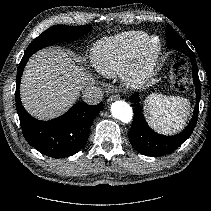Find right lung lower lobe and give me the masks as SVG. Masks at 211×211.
Wrapping results in <instances>:
<instances>
[{
  "label": "right lung lower lobe",
  "mask_w": 211,
  "mask_h": 211,
  "mask_svg": "<svg viewBox=\"0 0 211 211\" xmlns=\"http://www.w3.org/2000/svg\"><path fill=\"white\" fill-rule=\"evenodd\" d=\"M29 57L23 56L16 78L15 101L23 135L42 154L53 158L71 156L85 146L92 122L103 110V103L94 106L76 103L64 115L50 121L33 118L23 108L19 94L22 72Z\"/></svg>",
  "instance_id": "right-lung-lower-lobe-1"
}]
</instances>
